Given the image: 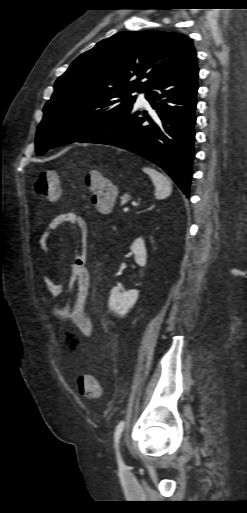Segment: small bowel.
<instances>
[{
  "mask_svg": "<svg viewBox=\"0 0 247 513\" xmlns=\"http://www.w3.org/2000/svg\"><path fill=\"white\" fill-rule=\"evenodd\" d=\"M64 224L73 225L80 235V247L77 250L73 261L70 264L72 282L71 290L74 291V298L71 302H64L63 305H53L50 300L44 299V306L51 312L52 316L59 320H70L78 331L76 334H68V338L80 351L85 345L83 341L93 335V323L86 311L85 301L90 286V273L86 266L87 252L86 243L88 238V226L80 215L68 212L55 216L48 224L47 230L41 235L39 243L44 251L50 249V240ZM43 283L48 296L53 298L61 297L69 286L62 282L55 281L49 277H43Z\"/></svg>",
  "mask_w": 247,
  "mask_h": 513,
  "instance_id": "1",
  "label": "small bowel"
}]
</instances>
